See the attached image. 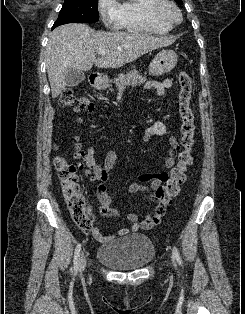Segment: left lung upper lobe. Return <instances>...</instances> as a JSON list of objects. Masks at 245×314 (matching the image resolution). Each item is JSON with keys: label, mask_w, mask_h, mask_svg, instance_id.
<instances>
[{"label": "left lung upper lobe", "mask_w": 245, "mask_h": 314, "mask_svg": "<svg viewBox=\"0 0 245 314\" xmlns=\"http://www.w3.org/2000/svg\"><path fill=\"white\" fill-rule=\"evenodd\" d=\"M178 4H183L182 0H175Z\"/></svg>", "instance_id": "obj_1"}]
</instances>
